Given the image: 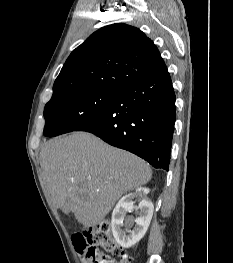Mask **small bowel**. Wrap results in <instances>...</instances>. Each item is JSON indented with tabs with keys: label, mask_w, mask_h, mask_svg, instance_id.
Masks as SVG:
<instances>
[{
	"label": "small bowel",
	"mask_w": 233,
	"mask_h": 263,
	"mask_svg": "<svg viewBox=\"0 0 233 263\" xmlns=\"http://www.w3.org/2000/svg\"><path fill=\"white\" fill-rule=\"evenodd\" d=\"M107 263H117L114 258L109 257Z\"/></svg>",
	"instance_id": "1"
}]
</instances>
